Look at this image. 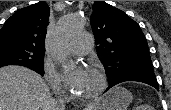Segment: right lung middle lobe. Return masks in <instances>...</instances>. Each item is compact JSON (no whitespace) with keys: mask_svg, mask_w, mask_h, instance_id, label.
I'll return each mask as SVG.
<instances>
[{"mask_svg":"<svg viewBox=\"0 0 171 110\" xmlns=\"http://www.w3.org/2000/svg\"><path fill=\"white\" fill-rule=\"evenodd\" d=\"M45 50H35L15 43H0V67L21 65L44 74Z\"/></svg>","mask_w":171,"mask_h":110,"instance_id":"obj_1","label":"right lung middle lobe"}]
</instances>
